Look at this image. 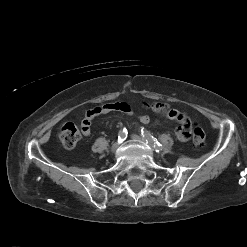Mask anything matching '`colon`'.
Listing matches in <instances>:
<instances>
[{
    "label": "colon",
    "instance_id": "1",
    "mask_svg": "<svg viewBox=\"0 0 247 247\" xmlns=\"http://www.w3.org/2000/svg\"><path fill=\"white\" fill-rule=\"evenodd\" d=\"M150 108L157 114L169 113L168 106L163 103H154L150 105ZM59 138L65 148H74L81 138L79 127L71 121L64 123L60 128ZM191 139L195 146L200 147L204 144L205 132L199 125H194L192 127Z\"/></svg>",
    "mask_w": 247,
    "mask_h": 247
}]
</instances>
